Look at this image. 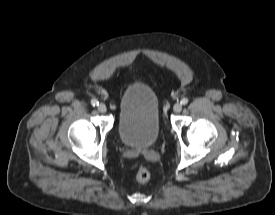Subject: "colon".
<instances>
[{"label":"colon","mask_w":275,"mask_h":215,"mask_svg":"<svg viewBox=\"0 0 275 215\" xmlns=\"http://www.w3.org/2000/svg\"><path fill=\"white\" fill-rule=\"evenodd\" d=\"M136 179L139 182L148 181L150 179V171L144 166L138 167L136 170Z\"/></svg>","instance_id":"obj_1"}]
</instances>
